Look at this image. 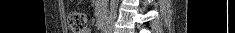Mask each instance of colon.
<instances>
[{
	"mask_svg": "<svg viewBox=\"0 0 235 33\" xmlns=\"http://www.w3.org/2000/svg\"><path fill=\"white\" fill-rule=\"evenodd\" d=\"M89 20L82 12H72L69 16V26L73 33H84L88 30Z\"/></svg>",
	"mask_w": 235,
	"mask_h": 33,
	"instance_id": "1",
	"label": "colon"
}]
</instances>
